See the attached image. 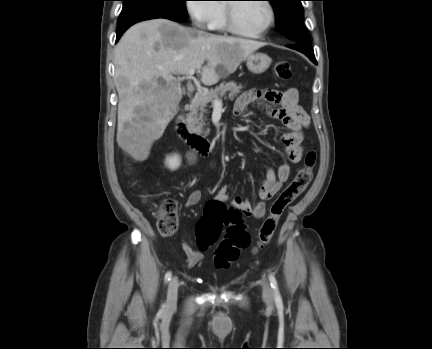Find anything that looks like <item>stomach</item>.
<instances>
[{"mask_svg":"<svg viewBox=\"0 0 432 349\" xmlns=\"http://www.w3.org/2000/svg\"><path fill=\"white\" fill-rule=\"evenodd\" d=\"M271 58L265 53H252L246 58V65L250 72L254 74H261L265 72L270 64Z\"/></svg>","mask_w":432,"mask_h":349,"instance_id":"0dacf381","label":"stomach"}]
</instances>
